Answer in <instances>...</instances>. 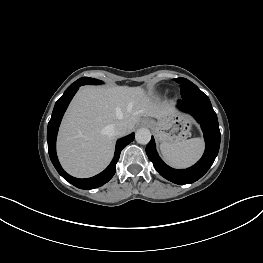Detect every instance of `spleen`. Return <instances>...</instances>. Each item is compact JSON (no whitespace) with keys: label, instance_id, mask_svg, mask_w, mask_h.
<instances>
[{"label":"spleen","instance_id":"spleen-1","mask_svg":"<svg viewBox=\"0 0 263 263\" xmlns=\"http://www.w3.org/2000/svg\"><path fill=\"white\" fill-rule=\"evenodd\" d=\"M160 151L165 160L172 166L186 168L201 158L204 142L201 138H192L177 140L172 143H161Z\"/></svg>","mask_w":263,"mask_h":263}]
</instances>
